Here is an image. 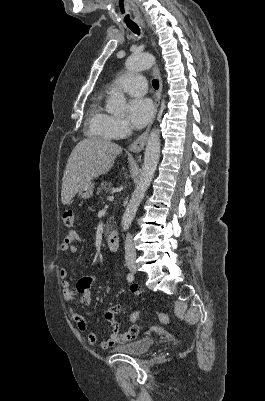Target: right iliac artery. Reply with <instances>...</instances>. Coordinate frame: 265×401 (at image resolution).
<instances>
[{"label":"right iliac artery","mask_w":265,"mask_h":401,"mask_svg":"<svg viewBox=\"0 0 265 401\" xmlns=\"http://www.w3.org/2000/svg\"><path fill=\"white\" fill-rule=\"evenodd\" d=\"M127 280H128V282H133L134 276H133L132 273H129V274L127 275Z\"/></svg>","instance_id":"obj_1"}]
</instances>
